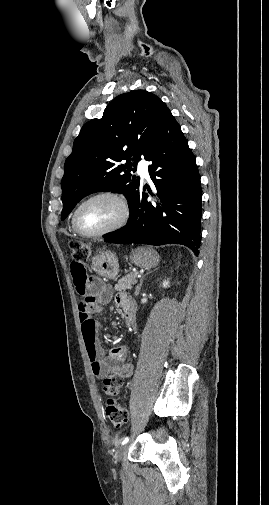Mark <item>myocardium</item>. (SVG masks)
Instances as JSON below:
<instances>
[{
  "label": "myocardium",
  "instance_id": "1",
  "mask_svg": "<svg viewBox=\"0 0 269 505\" xmlns=\"http://www.w3.org/2000/svg\"><path fill=\"white\" fill-rule=\"evenodd\" d=\"M98 198H111L115 200L121 207V215L120 218L110 227L98 231V232H88L83 230L79 223H78V214L82 207L87 204L88 202L98 199ZM130 217V206L127 201V199L120 193L112 191V190H105V191H100L97 193H94L84 199L75 209L73 216H72V224L77 233L84 237H89V238H97V237H102L104 235L110 234L112 232H115L122 228L129 220Z\"/></svg>",
  "mask_w": 269,
  "mask_h": 505
}]
</instances>
